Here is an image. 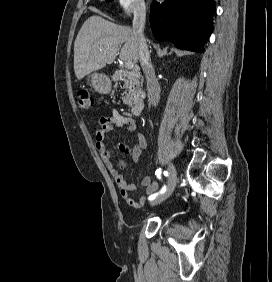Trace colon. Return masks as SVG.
Here are the masks:
<instances>
[{"label": "colon", "mask_w": 272, "mask_h": 282, "mask_svg": "<svg viewBox=\"0 0 272 282\" xmlns=\"http://www.w3.org/2000/svg\"><path fill=\"white\" fill-rule=\"evenodd\" d=\"M77 105L80 109L88 110L95 106V100L89 93V91L82 89L77 92L76 95ZM121 148V146H120Z\"/></svg>", "instance_id": "colon-1"}]
</instances>
